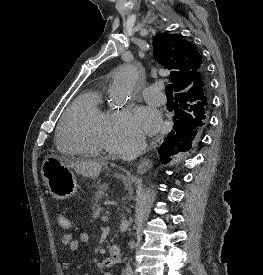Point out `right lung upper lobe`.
I'll list each match as a JSON object with an SVG mask.
<instances>
[{"label": "right lung upper lobe", "instance_id": "cb5924a9", "mask_svg": "<svg viewBox=\"0 0 263 275\" xmlns=\"http://www.w3.org/2000/svg\"><path fill=\"white\" fill-rule=\"evenodd\" d=\"M154 58L172 70L170 80L176 95H183L185 106L208 117L211 107L209 83L201 76L202 57L194 45L179 34L159 33L153 41Z\"/></svg>", "mask_w": 263, "mask_h": 275}]
</instances>
